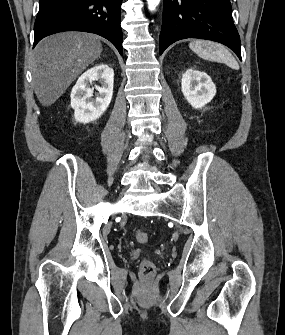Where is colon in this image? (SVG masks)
<instances>
[{
	"label": "colon",
	"instance_id": "5ec220e1",
	"mask_svg": "<svg viewBox=\"0 0 285 335\" xmlns=\"http://www.w3.org/2000/svg\"><path fill=\"white\" fill-rule=\"evenodd\" d=\"M135 237H136L137 242L140 244H146L149 241L148 234L140 230L136 232ZM140 270H141V274L144 277H150L155 272V266L153 262H151L150 260H144L141 263Z\"/></svg>",
	"mask_w": 285,
	"mask_h": 335
}]
</instances>
